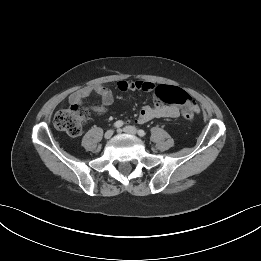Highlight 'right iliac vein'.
<instances>
[{
	"instance_id": "right-iliac-vein-1",
	"label": "right iliac vein",
	"mask_w": 261,
	"mask_h": 261,
	"mask_svg": "<svg viewBox=\"0 0 261 261\" xmlns=\"http://www.w3.org/2000/svg\"><path fill=\"white\" fill-rule=\"evenodd\" d=\"M113 133H114L113 130H108V131L105 133V135H104L105 139H110V138L112 137Z\"/></svg>"
}]
</instances>
